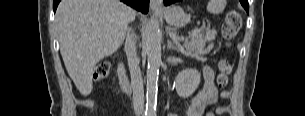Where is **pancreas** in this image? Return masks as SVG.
<instances>
[{
    "instance_id": "1",
    "label": "pancreas",
    "mask_w": 305,
    "mask_h": 116,
    "mask_svg": "<svg viewBox=\"0 0 305 116\" xmlns=\"http://www.w3.org/2000/svg\"><path fill=\"white\" fill-rule=\"evenodd\" d=\"M178 39L182 40L180 37H178ZM208 40L209 38L201 32L196 36H192L190 41H186L184 46H178V48L182 54L187 57L199 58L202 55L208 53V51L204 49Z\"/></svg>"
}]
</instances>
